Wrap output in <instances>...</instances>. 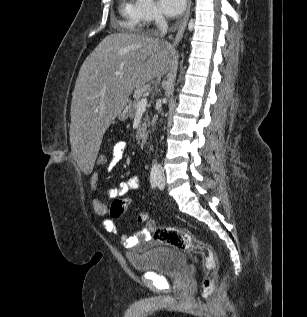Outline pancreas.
<instances>
[{
	"label": "pancreas",
	"instance_id": "pancreas-1",
	"mask_svg": "<svg viewBox=\"0 0 307 317\" xmlns=\"http://www.w3.org/2000/svg\"><path fill=\"white\" fill-rule=\"evenodd\" d=\"M142 92H143L142 89H137L134 93L135 100H134L133 104L131 105V109H130V113H129V116L131 117V119H133L135 116V113L137 111V105L139 102V98L142 95ZM147 121H148V115L145 116V118L143 119V123L138 127V131L136 134L137 140L144 141L146 139L145 131L147 128V124H146Z\"/></svg>",
	"mask_w": 307,
	"mask_h": 317
}]
</instances>
